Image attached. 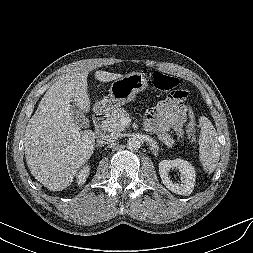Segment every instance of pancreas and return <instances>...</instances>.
<instances>
[{"label": "pancreas", "mask_w": 253, "mask_h": 253, "mask_svg": "<svg viewBox=\"0 0 253 253\" xmlns=\"http://www.w3.org/2000/svg\"><path fill=\"white\" fill-rule=\"evenodd\" d=\"M128 116L129 114L127 113L126 110H124V108L115 109L111 113V116L105 125L106 131L113 135L119 134L121 131L125 129V126L121 125L120 120L123 117H128ZM158 139L161 142H163L165 145H167L168 147H172V144L175 142L173 137L170 134L165 133V132L159 133Z\"/></svg>", "instance_id": "obj_1"}]
</instances>
